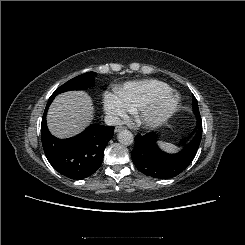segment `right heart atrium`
I'll use <instances>...</instances> for the list:
<instances>
[{"label": "right heart atrium", "mask_w": 245, "mask_h": 245, "mask_svg": "<svg viewBox=\"0 0 245 245\" xmlns=\"http://www.w3.org/2000/svg\"><path fill=\"white\" fill-rule=\"evenodd\" d=\"M103 108L108 116L113 119L126 117L129 108L117 92H105L103 95Z\"/></svg>", "instance_id": "right-heart-atrium-1"}]
</instances>
